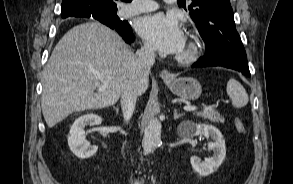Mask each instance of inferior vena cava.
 <instances>
[{"instance_id": "inferior-vena-cava-1", "label": "inferior vena cava", "mask_w": 293, "mask_h": 184, "mask_svg": "<svg viewBox=\"0 0 293 184\" xmlns=\"http://www.w3.org/2000/svg\"><path fill=\"white\" fill-rule=\"evenodd\" d=\"M154 62L155 49L151 45L145 44L143 47H141L140 50L136 52L134 66L140 79L149 74ZM139 95L140 93L135 85H128L123 90L120 102L123 116L126 121L132 117L136 105V100ZM134 184L139 183L135 181Z\"/></svg>"}]
</instances>
